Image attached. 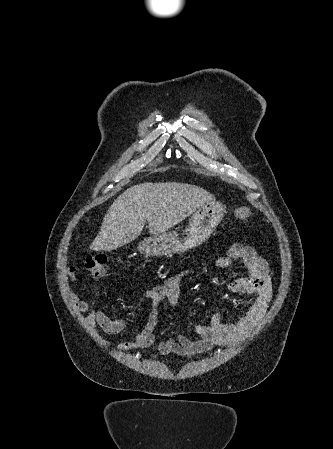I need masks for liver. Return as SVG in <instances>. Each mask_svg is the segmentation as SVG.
<instances>
[{
  "label": "liver",
  "instance_id": "1",
  "mask_svg": "<svg viewBox=\"0 0 333 449\" xmlns=\"http://www.w3.org/2000/svg\"><path fill=\"white\" fill-rule=\"evenodd\" d=\"M215 200L206 190L187 183H143L128 188L110 206L90 248L111 251L136 239L146 220L156 236Z\"/></svg>",
  "mask_w": 333,
  "mask_h": 449
}]
</instances>
